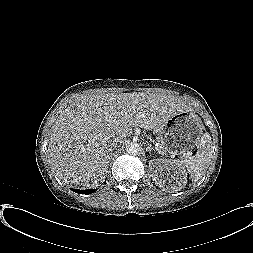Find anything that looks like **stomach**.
Returning a JSON list of instances; mask_svg holds the SVG:
<instances>
[{"label":"stomach","instance_id":"1","mask_svg":"<svg viewBox=\"0 0 253 253\" xmlns=\"http://www.w3.org/2000/svg\"><path fill=\"white\" fill-rule=\"evenodd\" d=\"M203 129L200 117L192 111H182L158 129V140L165 151L188 154L199 145Z\"/></svg>","mask_w":253,"mask_h":253}]
</instances>
